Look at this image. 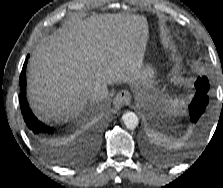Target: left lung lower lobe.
Listing matches in <instances>:
<instances>
[{
  "label": "left lung lower lobe",
  "instance_id": "left-lung-lower-lobe-1",
  "mask_svg": "<svg viewBox=\"0 0 223 188\" xmlns=\"http://www.w3.org/2000/svg\"><path fill=\"white\" fill-rule=\"evenodd\" d=\"M208 92L197 89L196 94L189 106V120L191 124L195 125L200 117L204 114L208 105Z\"/></svg>",
  "mask_w": 223,
  "mask_h": 188
}]
</instances>
